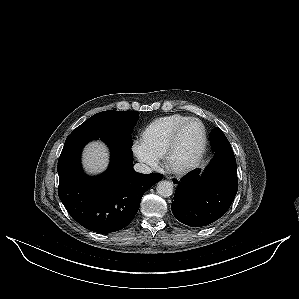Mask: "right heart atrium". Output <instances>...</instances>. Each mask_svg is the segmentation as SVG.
Returning <instances> with one entry per match:
<instances>
[{
  "label": "right heart atrium",
  "instance_id": "1",
  "mask_svg": "<svg viewBox=\"0 0 299 299\" xmlns=\"http://www.w3.org/2000/svg\"><path fill=\"white\" fill-rule=\"evenodd\" d=\"M132 152L135 157L147 168L155 169L159 166V157L151 153L144 145L143 141H135L132 145Z\"/></svg>",
  "mask_w": 299,
  "mask_h": 299
}]
</instances>
